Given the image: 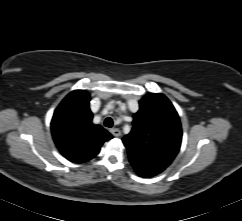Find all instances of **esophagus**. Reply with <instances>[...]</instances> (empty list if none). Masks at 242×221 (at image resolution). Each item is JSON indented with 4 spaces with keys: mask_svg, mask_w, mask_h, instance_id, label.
<instances>
[{
    "mask_svg": "<svg viewBox=\"0 0 242 221\" xmlns=\"http://www.w3.org/2000/svg\"><path fill=\"white\" fill-rule=\"evenodd\" d=\"M110 132L115 136L119 137L121 135V131L118 128H112L110 129Z\"/></svg>",
    "mask_w": 242,
    "mask_h": 221,
    "instance_id": "1",
    "label": "esophagus"
}]
</instances>
